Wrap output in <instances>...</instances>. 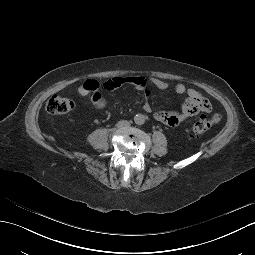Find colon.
I'll list each match as a JSON object with an SVG mask.
<instances>
[{
	"label": "colon",
	"mask_w": 255,
	"mask_h": 255,
	"mask_svg": "<svg viewBox=\"0 0 255 255\" xmlns=\"http://www.w3.org/2000/svg\"><path fill=\"white\" fill-rule=\"evenodd\" d=\"M75 107L76 104L72 99L57 95L52 96L46 103L47 112L53 115L69 113L73 111ZM220 121V114L213 115L209 120L201 117L192 123L189 129V134L192 137H200Z\"/></svg>",
	"instance_id": "5ec220e1"
}]
</instances>
